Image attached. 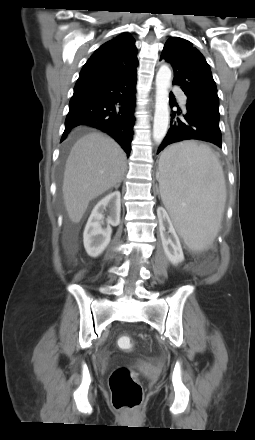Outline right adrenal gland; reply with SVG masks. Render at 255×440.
Masks as SVG:
<instances>
[{
	"label": "right adrenal gland",
	"instance_id": "2a0ac1e0",
	"mask_svg": "<svg viewBox=\"0 0 255 440\" xmlns=\"http://www.w3.org/2000/svg\"><path fill=\"white\" fill-rule=\"evenodd\" d=\"M122 182V181H121ZM121 182H119L116 186H115V189H118L119 188V186L121 185Z\"/></svg>",
	"mask_w": 255,
	"mask_h": 440
}]
</instances>
